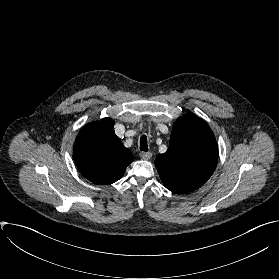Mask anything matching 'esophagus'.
<instances>
[{
  "mask_svg": "<svg viewBox=\"0 0 279 279\" xmlns=\"http://www.w3.org/2000/svg\"><path fill=\"white\" fill-rule=\"evenodd\" d=\"M140 158L144 159V160H149L152 157V153L151 152H141L139 154Z\"/></svg>",
  "mask_w": 279,
  "mask_h": 279,
  "instance_id": "34e87169",
  "label": "esophagus"
}]
</instances>
